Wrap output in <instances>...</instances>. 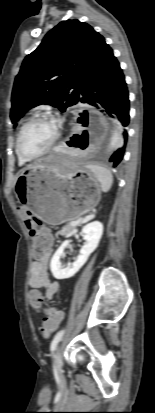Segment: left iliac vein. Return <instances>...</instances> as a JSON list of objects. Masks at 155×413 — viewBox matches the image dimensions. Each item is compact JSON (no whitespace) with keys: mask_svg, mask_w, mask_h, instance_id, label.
Returning <instances> with one entry per match:
<instances>
[{"mask_svg":"<svg viewBox=\"0 0 155 413\" xmlns=\"http://www.w3.org/2000/svg\"><path fill=\"white\" fill-rule=\"evenodd\" d=\"M54 366L59 374L62 373V360L60 356V346L57 347L54 354Z\"/></svg>","mask_w":155,"mask_h":413,"instance_id":"4c4485c4","label":"left iliac vein"}]
</instances>
